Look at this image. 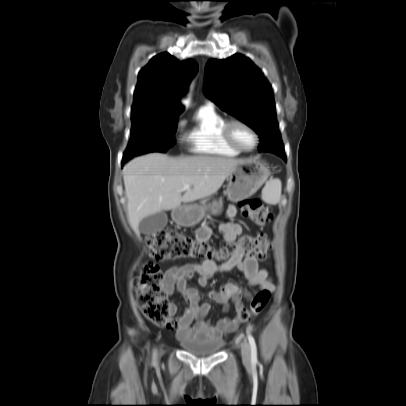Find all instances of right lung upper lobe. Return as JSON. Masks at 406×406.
Segmentation results:
<instances>
[{
    "instance_id": "right-lung-upper-lobe-1",
    "label": "right lung upper lobe",
    "mask_w": 406,
    "mask_h": 406,
    "mask_svg": "<svg viewBox=\"0 0 406 406\" xmlns=\"http://www.w3.org/2000/svg\"><path fill=\"white\" fill-rule=\"evenodd\" d=\"M197 70L192 59L179 61L169 53L156 55L139 72L131 114L178 117L183 111L180 96Z\"/></svg>"
}]
</instances>
